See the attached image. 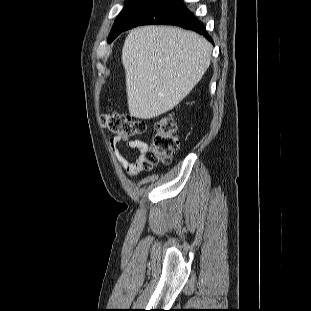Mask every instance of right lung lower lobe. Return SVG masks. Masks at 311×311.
Masks as SVG:
<instances>
[{
	"label": "right lung lower lobe",
	"mask_w": 311,
	"mask_h": 311,
	"mask_svg": "<svg viewBox=\"0 0 311 311\" xmlns=\"http://www.w3.org/2000/svg\"><path fill=\"white\" fill-rule=\"evenodd\" d=\"M147 24L176 25L193 30L212 42L201 21L183 5L182 0H158L140 12L123 31Z\"/></svg>",
	"instance_id": "obj_1"
}]
</instances>
